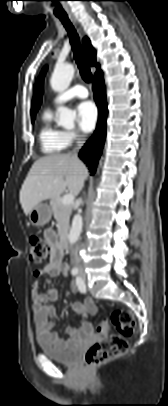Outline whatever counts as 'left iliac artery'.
Wrapping results in <instances>:
<instances>
[{
    "mask_svg": "<svg viewBox=\"0 0 168 406\" xmlns=\"http://www.w3.org/2000/svg\"><path fill=\"white\" fill-rule=\"evenodd\" d=\"M76 285H77L80 292H82V293L86 292V286H85V283H84V281L82 280L81 277L76 278Z\"/></svg>",
    "mask_w": 168,
    "mask_h": 406,
    "instance_id": "44dca946",
    "label": "left iliac artery"
}]
</instances>
